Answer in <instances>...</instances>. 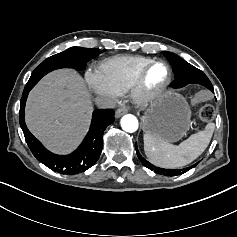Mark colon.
Masks as SVG:
<instances>
[{"label": "colon", "instance_id": "5ec220e1", "mask_svg": "<svg viewBox=\"0 0 237 237\" xmlns=\"http://www.w3.org/2000/svg\"><path fill=\"white\" fill-rule=\"evenodd\" d=\"M210 98V93L208 91H200L193 98L192 103L198 104L207 101ZM198 118L203 122H210L215 116V109L213 106L206 104L197 109L196 112Z\"/></svg>", "mask_w": 237, "mask_h": 237}]
</instances>
